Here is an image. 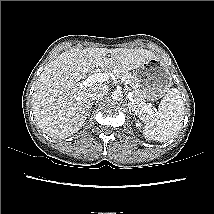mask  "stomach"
I'll return each instance as SVG.
<instances>
[{
	"instance_id": "1",
	"label": "stomach",
	"mask_w": 214,
	"mask_h": 214,
	"mask_svg": "<svg viewBox=\"0 0 214 214\" xmlns=\"http://www.w3.org/2000/svg\"><path fill=\"white\" fill-rule=\"evenodd\" d=\"M137 92L134 99L147 103L162 98L173 85L169 66L159 58H152L136 69Z\"/></svg>"
}]
</instances>
